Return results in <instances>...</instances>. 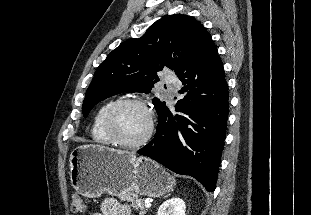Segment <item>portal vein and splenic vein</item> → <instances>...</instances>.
Returning <instances> with one entry per match:
<instances>
[{
    "label": "portal vein and splenic vein",
    "instance_id": "1",
    "mask_svg": "<svg viewBox=\"0 0 311 215\" xmlns=\"http://www.w3.org/2000/svg\"><path fill=\"white\" fill-rule=\"evenodd\" d=\"M144 206H145L146 208H150V207H151V203H150V202H145Z\"/></svg>",
    "mask_w": 311,
    "mask_h": 215
}]
</instances>
